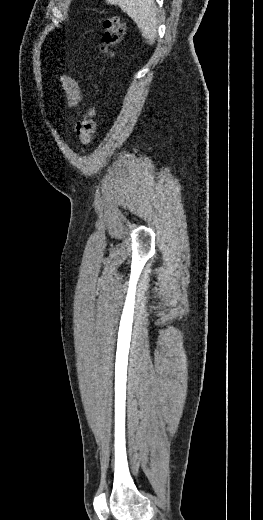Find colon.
Segmentation results:
<instances>
[{"instance_id": "obj_1", "label": "colon", "mask_w": 263, "mask_h": 520, "mask_svg": "<svg viewBox=\"0 0 263 520\" xmlns=\"http://www.w3.org/2000/svg\"><path fill=\"white\" fill-rule=\"evenodd\" d=\"M104 28L101 53L110 57L114 55L116 46L123 40L126 26L119 16H108L100 19ZM96 88V84H92ZM94 110L91 107L84 108L79 112V119L76 123V133L80 144L87 147L91 144L95 133V122L93 119Z\"/></svg>"}]
</instances>
